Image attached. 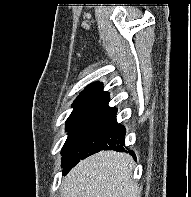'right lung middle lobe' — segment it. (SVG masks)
Here are the masks:
<instances>
[{
    "mask_svg": "<svg viewBox=\"0 0 191 197\" xmlns=\"http://www.w3.org/2000/svg\"><path fill=\"white\" fill-rule=\"evenodd\" d=\"M91 109L73 111L66 122V132L68 133V138L62 148V166L65 165L66 161L71 155V148L76 141L78 133L85 121V119L90 114Z\"/></svg>",
    "mask_w": 191,
    "mask_h": 197,
    "instance_id": "1",
    "label": "right lung middle lobe"
}]
</instances>
